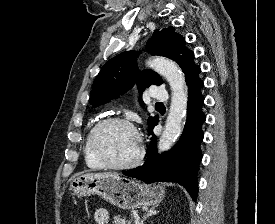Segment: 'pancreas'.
Wrapping results in <instances>:
<instances>
[{
    "mask_svg": "<svg viewBox=\"0 0 275 224\" xmlns=\"http://www.w3.org/2000/svg\"><path fill=\"white\" fill-rule=\"evenodd\" d=\"M132 220H127L124 217L121 216H115L113 218V224H131Z\"/></svg>",
    "mask_w": 275,
    "mask_h": 224,
    "instance_id": "cf45deb5",
    "label": "pancreas"
}]
</instances>
